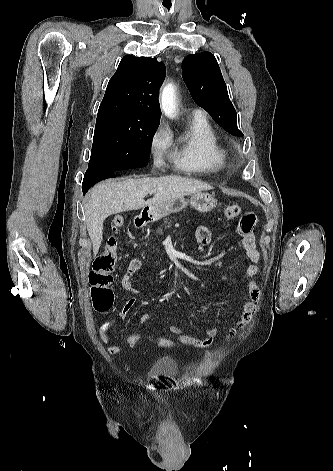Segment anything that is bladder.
Returning <instances> with one entry per match:
<instances>
[{
  "label": "bladder",
  "instance_id": "obj_1",
  "mask_svg": "<svg viewBox=\"0 0 333 471\" xmlns=\"http://www.w3.org/2000/svg\"><path fill=\"white\" fill-rule=\"evenodd\" d=\"M150 372L154 375H164L172 377L178 373L177 363L172 357H161L152 364Z\"/></svg>",
  "mask_w": 333,
  "mask_h": 471
}]
</instances>
